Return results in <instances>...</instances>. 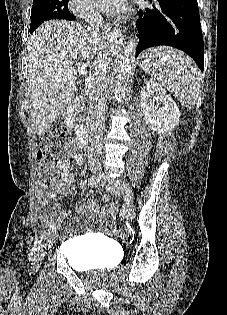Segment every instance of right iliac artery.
Here are the masks:
<instances>
[{"instance_id":"obj_1","label":"right iliac artery","mask_w":227,"mask_h":315,"mask_svg":"<svg viewBox=\"0 0 227 315\" xmlns=\"http://www.w3.org/2000/svg\"><path fill=\"white\" fill-rule=\"evenodd\" d=\"M101 178H102V174L101 173L93 175L92 177L89 178L88 185L89 186L97 185L100 182ZM55 229H56V223L55 224L53 223L52 225H50V227L46 231H44V233L39 237V239L36 240V242L34 243V246L31 249V252L29 254V259L30 260L35 255V252L39 248V245L41 244L43 239H46L52 232L55 231Z\"/></svg>"}]
</instances>
